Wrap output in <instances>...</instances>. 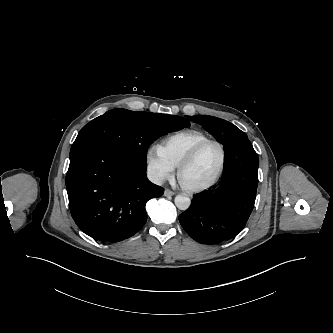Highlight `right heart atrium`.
Returning a JSON list of instances; mask_svg holds the SVG:
<instances>
[{
  "instance_id": "1",
  "label": "right heart atrium",
  "mask_w": 333,
  "mask_h": 333,
  "mask_svg": "<svg viewBox=\"0 0 333 333\" xmlns=\"http://www.w3.org/2000/svg\"><path fill=\"white\" fill-rule=\"evenodd\" d=\"M145 160L147 171L156 183L169 180L174 175L175 166L164 157L159 147H150L146 151Z\"/></svg>"
}]
</instances>
